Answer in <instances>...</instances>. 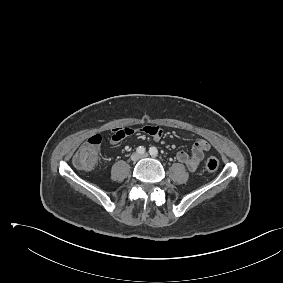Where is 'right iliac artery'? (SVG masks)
Segmentation results:
<instances>
[{
  "label": "right iliac artery",
  "mask_w": 283,
  "mask_h": 283,
  "mask_svg": "<svg viewBox=\"0 0 283 283\" xmlns=\"http://www.w3.org/2000/svg\"><path fill=\"white\" fill-rule=\"evenodd\" d=\"M137 152H138L139 154H143V153L145 152V148H144L143 146H139V147L137 148Z\"/></svg>",
  "instance_id": "82829eb1"
}]
</instances>
